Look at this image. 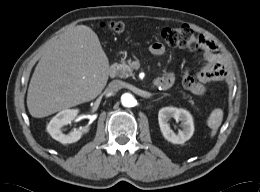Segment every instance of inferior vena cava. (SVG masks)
I'll return each instance as SVG.
<instances>
[{"instance_id": "602c4592", "label": "inferior vena cava", "mask_w": 260, "mask_h": 192, "mask_svg": "<svg viewBox=\"0 0 260 192\" xmlns=\"http://www.w3.org/2000/svg\"><path fill=\"white\" fill-rule=\"evenodd\" d=\"M123 88V82L120 80H113L109 83L106 91L107 92H117Z\"/></svg>"}]
</instances>
